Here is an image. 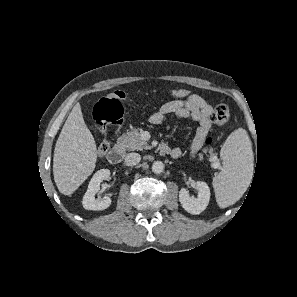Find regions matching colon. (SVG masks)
Returning a JSON list of instances; mask_svg holds the SVG:
<instances>
[{
  "instance_id": "5ec220e1",
  "label": "colon",
  "mask_w": 297,
  "mask_h": 297,
  "mask_svg": "<svg viewBox=\"0 0 297 297\" xmlns=\"http://www.w3.org/2000/svg\"><path fill=\"white\" fill-rule=\"evenodd\" d=\"M191 94L189 89H175L171 96L175 99H185ZM127 100L126 95L121 91H115L110 95L101 98L94 107V118L98 130L103 135V139L98 147L99 156H104L111 147L107 135L114 132L123 120L122 101ZM230 110L225 104H218L211 115V120L216 125H225L230 120ZM211 140H208L209 144Z\"/></svg>"
}]
</instances>
